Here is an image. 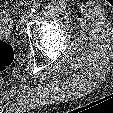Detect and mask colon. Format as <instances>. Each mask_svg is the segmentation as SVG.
Returning <instances> with one entry per match:
<instances>
[{
  "mask_svg": "<svg viewBox=\"0 0 113 113\" xmlns=\"http://www.w3.org/2000/svg\"><path fill=\"white\" fill-rule=\"evenodd\" d=\"M15 58V52L13 47L0 40V72L6 70L11 66Z\"/></svg>",
  "mask_w": 113,
  "mask_h": 113,
  "instance_id": "5ec220e1",
  "label": "colon"
}]
</instances>
